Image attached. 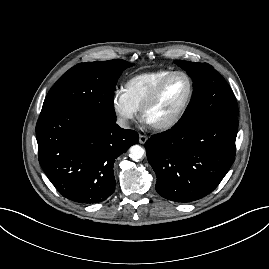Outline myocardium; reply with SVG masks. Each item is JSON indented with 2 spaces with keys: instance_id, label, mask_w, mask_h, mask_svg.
<instances>
[{
  "instance_id": "1",
  "label": "myocardium",
  "mask_w": 269,
  "mask_h": 269,
  "mask_svg": "<svg viewBox=\"0 0 269 269\" xmlns=\"http://www.w3.org/2000/svg\"><path fill=\"white\" fill-rule=\"evenodd\" d=\"M176 75H182L184 76L188 83H189V92L187 95V98L184 102V104L181 106V108L170 118L157 122V123H148L145 119L146 113L154 106V104L157 102L164 86L166 83L174 76ZM194 96V82L191 78V76L184 72V71H172L170 74H168L166 77H164L154 88V90L151 92L147 100L144 102L140 109V117L143 121H145L147 124L150 125L151 128L155 130H167L175 126L184 116L187 109L189 108L192 99Z\"/></svg>"
}]
</instances>
